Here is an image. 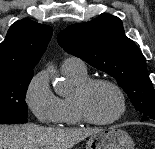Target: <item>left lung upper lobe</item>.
<instances>
[{
    "instance_id": "5c2ea615",
    "label": "left lung upper lobe",
    "mask_w": 155,
    "mask_h": 149,
    "mask_svg": "<svg viewBox=\"0 0 155 149\" xmlns=\"http://www.w3.org/2000/svg\"><path fill=\"white\" fill-rule=\"evenodd\" d=\"M59 45L68 53L114 77L128 94L142 119H155V92L146 59L125 36L119 18L103 14L59 32Z\"/></svg>"
}]
</instances>
